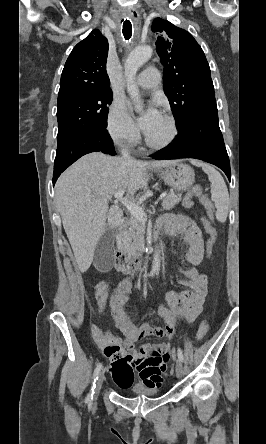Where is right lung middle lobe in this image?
<instances>
[{
    "mask_svg": "<svg viewBox=\"0 0 266 444\" xmlns=\"http://www.w3.org/2000/svg\"><path fill=\"white\" fill-rule=\"evenodd\" d=\"M112 90H96L58 100L57 150L87 132L106 130Z\"/></svg>",
    "mask_w": 266,
    "mask_h": 444,
    "instance_id": "1",
    "label": "right lung middle lobe"
}]
</instances>
